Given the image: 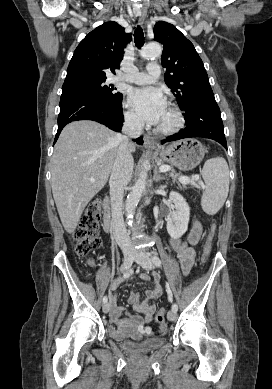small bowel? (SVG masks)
Segmentation results:
<instances>
[{
  "label": "small bowel",
  "instance_id": "small-bowel-1",
  "mask_svg": "<svg viewBox=\"0 0 272 389\" xmlns=\"http://www.w3.org/2000/svg\"><path fill=\"white\" fill-rule=\"evenodd\" d=\"M202 234V226L201 223L197 220L193 221L192 227L187 235L186 240L182 241L179 239H172L171 244L173 249L176 251L181 270L183 274H188L191 270L194 258H195V251L192 246L197 244ZM93 264V262H91ZM152 276L154 278V284L153 286L147 290L146 300H140L139 295L135 292H132L129 296V302L132 304L133 309L141 314V316H129L127 322L131 324L134 327V330L128 332V333H119L114 328H111V331L115 334H117L120 338L124 337L125 335L130 336L132 339L139 340L144 336H148L152 333V329L149 326L153 315L156 311V306L153 304H150V300L157 299L162 294V285H161V279L159 274L152 273ZM140 278L144 281H149V275L148 274H141ZM118 286V282H115L112 285V290H115ZM110 303H111V318L114 322H119L121 320V317L123 315H128L127 310L117 305L116 302V296L114 294L110 295Z\"/></svg>",
  "mask_w": 272,
  "mask_h": 389
}]
</instances>
